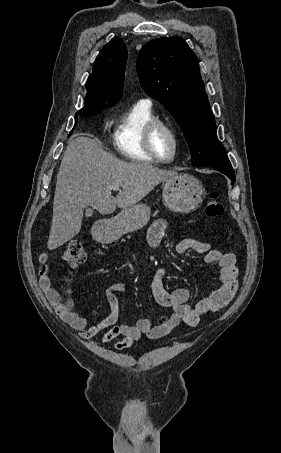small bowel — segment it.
I'll use <instances>...</instances> for the list:
<instances>
[{
  "instance_id": "small-bowel-1",
  "label": "small bowel",
  "mask_w": 281,
  "mask_h": 453,
  "mask_svg": "<svg viewBox=\"0 0 281 453\" xmlns=\"http://www.w3.org/2000/svg\"><path fill=\"white\" fill-rule=\"evenodd\" d=\"M167 228L166 220H156L150 225L147 241L151 248H157L161 244ZM176 251L180 254L189 251L203 254L206 263L217 264L220 268L221 285L210 298L190 307L188 304L190 289L182 287L168 292L163 285V279L168 275V270L164 267L158 268L151 280V291L155 301L161 306L169 308L170 311L156 325H153L147 318L141 319L135 324L119 323L118 295L125 292L126 285L114 283L105 290V298L110 309L109 315L100 323L89 327V320L75 311L71 286H67L65 289L66 301L59 305L60 294L51 282L50 261L46 254L40 258L39 282L46 297L54 305L57 314L72 328L79 331L81 339L95 338L105 331L100 338V342L104 344L121 335L123 339L115 342L114 348L124 350L131 347L142 335H146L149 339H159L168 335L179 324L197 325L208 313L226 310L235 296L239 281L234 254L221 253L211 249L208 243L200 239L187 237L179 239Z\"/></svg>"
}]
</instances>
